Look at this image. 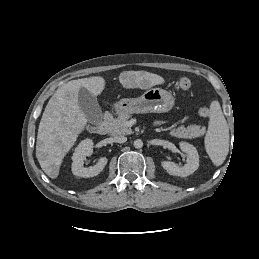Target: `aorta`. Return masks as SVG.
Returning a JSON list of instances; mask_svg holds the SVG:
<instances>
[{
  "mask_svg": "<svg viewBox=\"0 0 259 259\" xmlns=\"http://www.w3.org/2000/svg\"><path fill=\"white\" fill-rule=\"evenodd\" d=\"M134 147L137 148V149L142 148V147H143V142H142V140H140V139L135 140V141H134Z\"/></svg>",
  "mask_w": 259,
  "mask_h": 259,
  "instance_id": "762f6f07",
  "label": "aorta"
}]
</instances>
